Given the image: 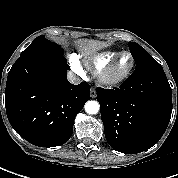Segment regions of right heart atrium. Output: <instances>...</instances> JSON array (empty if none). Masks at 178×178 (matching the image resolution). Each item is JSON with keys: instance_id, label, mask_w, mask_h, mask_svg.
Segmentation results:
<instances>
[{"instance_id": "d8ad5b80", "label": "right heart atrium", "mask_w": 178, "mask_h": 178, "mask_svg": "<svg viewBox=\"0 0 178 178\" xmlns=\"http://www.w3.org/2000/svg\"><path fill=\"white\" fill-rule=\"evenodd\" d=\"M71 63H72L73 66H75V67L77 66L76 60L74 58L71 59Z\"/></svg>"}]
</instances>
